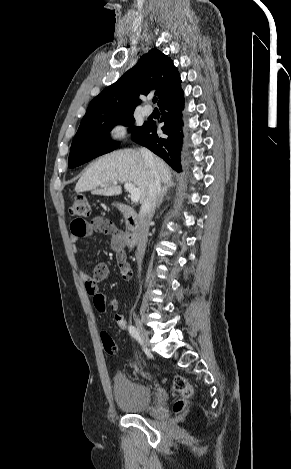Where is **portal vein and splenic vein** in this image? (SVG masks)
Wrapping results in <instances>:
<instances>
[{"label": "portal vein and splenic vein", "instance_id": "portal-vein-and-splenic-vein-1", "mask_svg": "<svg viewBox=\"0 0 291 469\" xmlns=\"http://www.w3.org/2000/svg\"><path fill=\"white\" fill-rule=\"evenodd\" d=\"M116 183V182H114ZM105 186V185H103ZM125 189L130 193V199L132 202L136 203L140 199V191L132 183L126 182L124 184Z\"/></svg>", "mask_w": 291, "mask_h": 469}]
</instances>
